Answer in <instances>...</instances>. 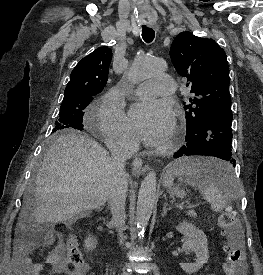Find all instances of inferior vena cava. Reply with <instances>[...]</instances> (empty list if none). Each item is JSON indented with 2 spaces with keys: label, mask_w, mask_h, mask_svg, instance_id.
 I'll return each instance as SVG.
<instances>
[{
  "label": "inferior vena cava",
  "mask_w": 263,
  "mask_h": 275,
  "mask_svg": "<svg viewBox=\"0 0 263 275\" xmlns=\"http://www.w3.org/2000/svg\"><path fill=\"white\" fill-rule=\"evenodd\" d=\"M109 150L111 154V186L109 192V204L112 213L111 222L117 228L120 244H123L125 240L123 226L126 219L125 201L128 186L125 163L136 151V144L129 136H122L109 145ZM123 275L128 274L124 272Z\"/></svg>",
  "instance_id": "inferior-vena-cava-1"
}]
</instances>
